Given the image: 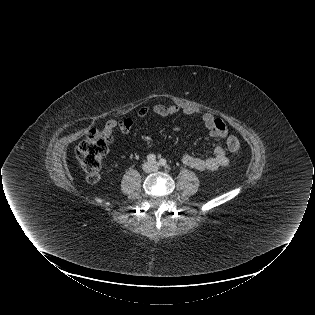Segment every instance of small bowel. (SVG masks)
Wrapping results in <instances>:
<instances>
[{"instance_id":"small-bowel-1","label":"small bowel","mask_w":315,"mask_h":315,"mask_svg":"<svg viewBox=\"0 0 315 315\" xmlns=\"http://www.w3.org/2000/svg\"><path fill=\"white\" fill-rule=\"evenodd\" d=\"M180 107L176 105H164L156 104L151 107H141L136 114L135 118H125L121 121L110 119L106 122L103 130L112 135L116 128H119L122 132H129L137 119H143L149 114L153 113L159 117H169L180 112ZM185 114H191L190 110H184ZM205 127L208 129L210 136L213 138H224L227 136V128L224 122L216 118L213 114L206 113L202 117ZM175 131H179V127L174 128ZM181 162L193 169L204 171H213L219 167H225L229 164V159L226 155L224 147L215 143L213 148V155L207 158L196 157L190 153H183L181 155Z\"/></svg>"}]
</instances>
